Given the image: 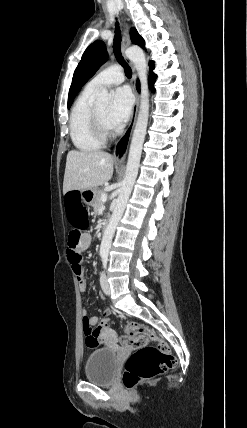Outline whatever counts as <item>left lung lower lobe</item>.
I'll list each match as a JSON object with an SVG mask.
<instances>
[{
    "label": "left lung lower lobe",
    "mask_w": 247,
    "mask_h": 428,
    "mask_svg": "<svg viewBox=\"0 0 247 428\" xmlns=\"http://www.w3.org/2000/svg\"><path fill=\"white\" fill-rule=\"evenodd\" d=\"M153 68H154L153 62H150V84L151 85L154 83V81L157 77L152 71ZM136 86H137V90L140 91L139 81H137Z\"/></svg>",
    "instance_id": "left-lung-lower-lobe-1"
}]
</instances>
